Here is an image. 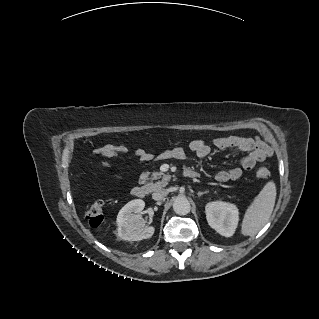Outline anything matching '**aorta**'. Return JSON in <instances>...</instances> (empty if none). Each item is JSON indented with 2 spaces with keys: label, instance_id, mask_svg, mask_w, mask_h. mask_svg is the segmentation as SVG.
Returning <instances> with one entry per match:
<instances>
[{
  "label": "aorta",
  "instance_id": "1",
  "mask_svg": "<svg viewBox=\"0 0 319 319\" xmlns=\"http://www.w3.org/2000/svg\"><path fill=\"white\" fill-rule=\"evenodd\" d=\"M190 208V202L185 196L179 195L174 199L173 210L176 214L187 215L190 212Z\"/></svg>",
  "mask_w": 319,
  "mask_h": 319
}]
</instances>
